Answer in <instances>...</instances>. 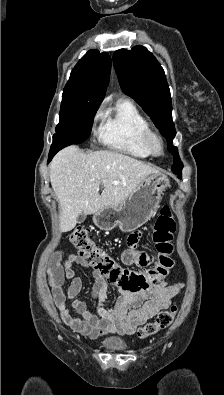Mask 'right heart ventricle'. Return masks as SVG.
<instances>
[{
	"instance_id": "e07e8e85",
	"label": "right heart ventricle",
	"mask_w": 224,
	"mask_h": 395,
	"mask_svg": "<svg viewBox=\"0 0 224 395\" xmlns=\"http://www.w3.org/2000/svg\"><path fill=\"white\" fill-rule=\"evenodd\" d=\"M149 127L146 119L128 99H120L108 111L102 124L99 140L109 148L136 158H148L150 153L142 136Z\"/></svg>"
}]
</instances>
